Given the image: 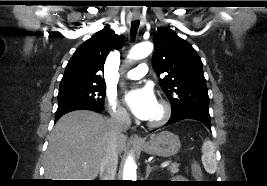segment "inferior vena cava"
Segmentation results:
<instances>
[{
    "instance_id": "602c4592",
    "label": "inferior vena cava",
    "mask_w": 267,
    "mask_h": 186,
    "mask_svg": "<svg viewBox=\"0 0 267 186\" xmlns=\"http://www.w3.org/2000/svg\"><path fill=\"white\" fill-rule=\"evenodd\" d=\"M108 125V140L100 166V180H115L118 165L117 139L124 136L123 133L129 129L131 121L127 112L120 111L112 115Z\"/></svg>"
}]
</instances>
